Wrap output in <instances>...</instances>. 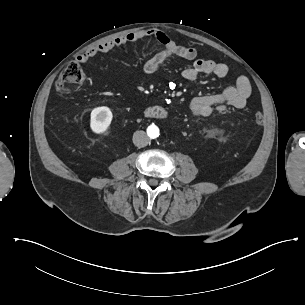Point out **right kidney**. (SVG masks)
Masks as SVG:
<instances>
[{"instance_id":"obj_1","label":"right kidney","mask_w":305,"mask_h":305,"mask_svg":"<svg viewBox=\"0 0 305 305\" xmlns=\"http://www.w3.org/2000/svg\"><path fill=\"white\" fill-rule=\"evenodd\" d=\"M113 118V113L108 107L102 106L94 108L90 114L89 131L92 134L106 132L109 129Z\"/></svg>"}]
</instances>
